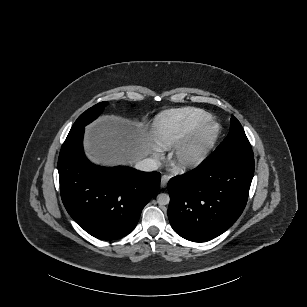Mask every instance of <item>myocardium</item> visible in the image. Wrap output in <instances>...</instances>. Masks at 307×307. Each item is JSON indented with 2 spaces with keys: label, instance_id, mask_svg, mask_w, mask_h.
I'll use <instances>...</instances> for the list:
<instances>
[{
  "label": "myocardium",
  "instance_id": "obj_1",
  "mask_svg": "<svg viewBox=\"0 0 307 307\" xmlns=\"http://www.w3.org/2000/svg\"><path fill=\"white\" fill-rule=\"evenodd\" d=\"M221 135L222 125L218 122L209 123L178 147L173 156L174 166L179 172L200 166L208 159Z\"/></svg>",
  "mask_w": 307,
  "mask_h": 307
}]
</instances>
